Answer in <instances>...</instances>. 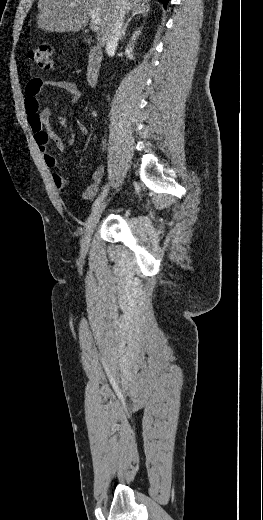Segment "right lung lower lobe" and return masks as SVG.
<instances>
[{
    "label": "right lung lower lobe",
    "instance_id": "obj_1",
    "mask_svg": "<svg viewBox=\"0 0 263 520\" xmlns=\"http://www.w3.org/2000/svg\"><path fill=\"white\" fill-rule=\"evenodd\" d=\"M158 1L161 2L164 5V7L166 8L169 0H158Z\"/></svg>",
    "mask_w": 263,
    "mask_h": 520
}]
</instances>
